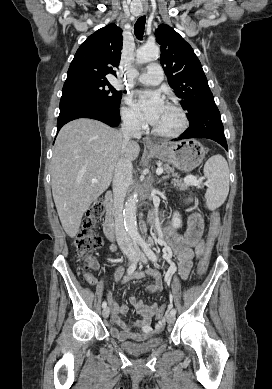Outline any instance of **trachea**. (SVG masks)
<instances>
[{
    "mask_svg": "<svg viewBox=\"0 0 272 389\" xmlns=\"http://www.w3.org/2000/svg\"><path fill=\"white\" fill-rule=\"evenodd\" d=\"M145 22H146V17L141 16L135 23L134 26V34L137 37V39L141 40L144 34V29H145Z\"/></svg>",
    "mask_w": 272,
    "mask_h": 389,
    "instance_id": "obj_1",
    "label": "trachea"
}]
</instances>
